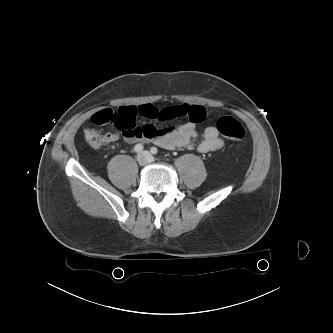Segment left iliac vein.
I'll return each mask as SVG.
<instances>
[{
	"mask_svg": "<svg viewBox=\"0 0 333 333\" xmlns=\"http://www.w3.org/2000/svg\"><path fill=\"white\" fill-rule=\"evenodd\" d=\"M144 153L147 155L148 161L152 162L153 161V157L150 155V153L148 151H144Z\"/></svg>",
	"mask_w": 333,
	"mask_h": 333,
	"instance_id": "left-iliac-vein-1",
	"label": "left iliac vein"
}]
</instances>
